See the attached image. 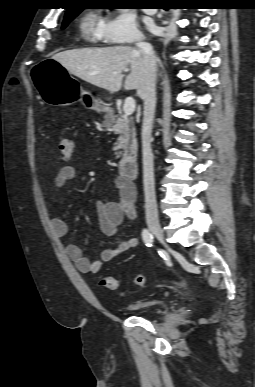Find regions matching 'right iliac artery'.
<instances>
[{
  "label": "right iliac artery",
  "instance_id": "82829eb1",
  "mask_svg": "<svg viewBox=\"0 0 255 387\" xmlns=\"http://www.w3.org/2000/svg\"><path fill=\"white\" fill-rule=\"evenodd\" d=\"M142 239H143V241H144V243H145L146 246H148V247H151V246H152L154 237H153V235L149 232L148 229H144V230L142 231Z\"/></svg>",
  "mask_w": 255,
  "mask_h": 387
}]
</instances>
